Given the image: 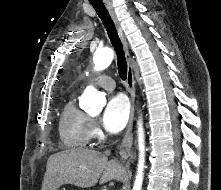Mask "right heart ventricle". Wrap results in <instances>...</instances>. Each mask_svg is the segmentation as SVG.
<instances>
[{
	"mask_svg": "<svg viewBox=\"0 0 221 190\" xmlns=\"http://www.w3.org/2000/svg\"><path fill=\"white\" fill-rule=\"evenodd\" d=\"M90 125V119L76 106L74 96H71L59 119V135L63 145L69 149L85 148L91 140Z\"/></svg>",
	"mask_w": 221,
	"mask_h": 190,
	"instance_id": "obj_1",
	"label": "right heart ventricle"
}]
</instances>
